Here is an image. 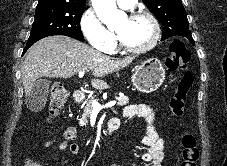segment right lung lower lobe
<instances>
[{
	"instance_id": "obj_1",
	"label": "right lung lower lobe",
	"mask_w": 227,
	"mask_h": 166,
	"mask_svg": "<svg viewBox=\"0 0 227 166\" xmlns=\"http://www.w3.org/2000/svg\"><path fill=\"white\" fill-rule=\"evenodd\" d=\"M35 42L32 43H27L26 47L24 48L23 54L34 44Z\"/></svg>"
}]
</instances>
